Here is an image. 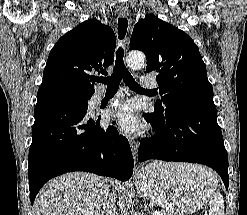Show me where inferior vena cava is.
<instances>
[{
	"label": "inferior vena cava",
	"instance_id": "1",
	"mask_svg": "<svg viewBox=\"0 0 247 215\" xmlns=\"http://www.w3.org/2000/svg\"><path fill=\"white\" fill-rule=\"evenodd\" d=\"M114 202H115V197L113 193L108 197L106 201V206H105L106 211H107L106 215H118L116 212V209L114 208Z\"/></svg>",
	"mask_w": 247,
	"mask_h": 215
}]
</instances>
